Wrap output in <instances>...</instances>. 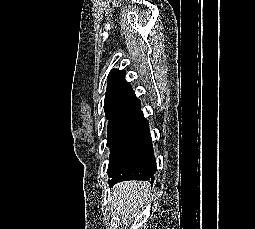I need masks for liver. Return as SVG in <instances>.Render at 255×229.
Masks as SVG:
<instances>
[{"label": "liver", "mask_w": 255, "mask_h": 229, "mask_svg": "<svg viewBox=\"0 0 255 229\" xmlns=\"http://www.w3.org/2000/svg\"><path fill=\"white\" fill-rule=\"evenodd\" d=\"M150 185L141 181H126L112 188V205L122 218L137 214L148 201Z\"/></svg>", "instance_id": "liver-1"}]
</instances>
